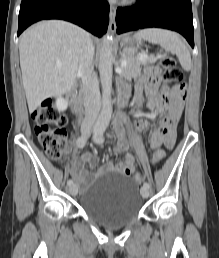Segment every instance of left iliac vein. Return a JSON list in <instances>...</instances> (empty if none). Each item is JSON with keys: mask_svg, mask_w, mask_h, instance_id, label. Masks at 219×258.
Returning <instances> with one entry per match:
<instances>
[{"mask_svg": "<svg viewBox=\"0 0 219 258\" xmlns=\"http://www.w3.org/2000/svg\"><path fill=\"white\" fill-rule=\"evenodd\" d=\"M140 193L142 195L143 198H148L150 193H149V189L146 187H142L140 190Z\"/></svg>", "mask_w": 219, "mask_h": 258, "instance_id": "4c4485c4", "label": "left iliac vein"}]
</instances>
